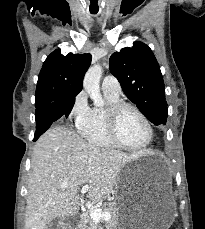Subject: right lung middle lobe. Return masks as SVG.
Wrapping results in <instances>:
<instances>
[{
    "label": "right lung middle lobe",
    "mask_w": 205,
    "mask_h": 229,
    "mask_svg": "<svg viewBox=\"0 0 205 229\" xmlns=\"http://www.w3.org/2000/svg\"><path fill=\"white\" fill-rule=\"evenodd\" d=\"M67 100H69L71 102H75V96H69L67 98ZM53 101H55V100L54 99H50V98L49 99H42V100L36 101L35 107L39 108V107H41V106H43L45 104L51 103Z\"/></svg>",
    "instance_id": "dd1d6c3e"
}]
</instances>
